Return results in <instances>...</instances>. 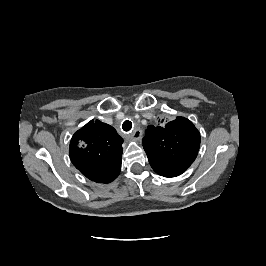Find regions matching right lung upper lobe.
I'll list each match as a JSON object with an SVG mask.
<instances>
[{
	"label": "right lung upper lobe",
	"mask_w": 266,
	"mask_h": 266,
	"mask_svg": "<svg viewBox=\"0 0 266 266\" xmlns=\"http://www.w3.org/2000/svg\"><path fill=\"white\" fill-rule=\"evenodd\" d=\"M122 143L112 126L91 120L70 141L71 162L91 181L110 183L121 170Z\"/></svg>",
	"instance_id": "cb5924a9"
}]
</instances>
